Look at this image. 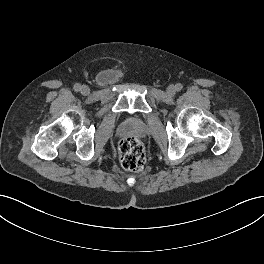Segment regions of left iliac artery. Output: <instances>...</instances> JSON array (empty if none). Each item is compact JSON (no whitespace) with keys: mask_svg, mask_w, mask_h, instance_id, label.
Segmentation results:
<instances>
[{"mask_svg":"<svg viewBox=\"0 0 264 264\" xmlns=\"http://www.w3.org/2000/svg\"><path fill=\"white\" fill-rule=\"evenodd\" d=\"M182 88H183V86H182L180 83H177V84H176V90H177V91L182 90Z\"/></svg>","mask_w":264,"mask_h":264,"instance_id":"left-iliac-artery-1","label":"left iliac artery"}]
</instances>
